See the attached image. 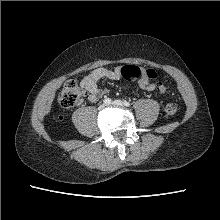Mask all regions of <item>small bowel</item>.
<instances>
[{
	"label": "small bowel",
	"mask_w": 220,
	"mask_h": 220,
	"mask_svg": "<svg viewBox=\"0 0 220 220\" xmlns=\"http://www.w3.org/2000/svg\"><path fill=\"white\" fill-rule=\"evenodd\" d=\"M120 71V67L113 69L101 67L93 70L90 74L84 77L81 81V88L86 93L88 100L94 103L103 96L107 91L99 88L98 82L101 79L118 80L121 76ZM139 86L147 91H152L156 88V84L150 81L148 70L146 69H142Z\"/></svg>",
	"instance_id": "1"
}]
</instances>
